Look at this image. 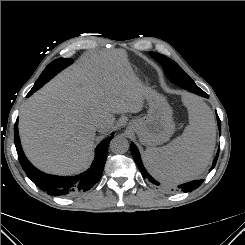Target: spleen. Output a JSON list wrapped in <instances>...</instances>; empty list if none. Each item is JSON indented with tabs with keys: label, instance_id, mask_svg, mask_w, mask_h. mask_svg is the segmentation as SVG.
Masks as SVG:
<instances>
[{
	"label": "spleen",
	"instance_id": "3e777b00",
	"mask_svg": "<svg viewBox=\"0 0 245 245\" xmlns=\"http://www.w3.org/2000/svg\"><path fill=\"white\" fill-rule=\"evenodd\" d=\"M189 125L179 137L160 148H147L145 162L161 182L176 185L198 178L208 166L215 147V120L200 99L185 101Z\"/></svg>",
	"mask_w": 245,
	"mask_h": 245
}]
</instances>
